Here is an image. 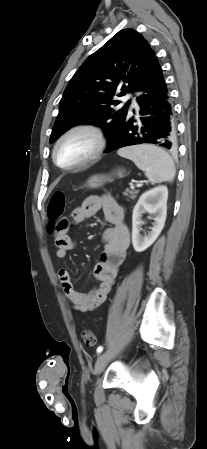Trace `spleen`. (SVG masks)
I'll return each mask as SVG.
<instances>
[{"label":"spleen","mask_w":207,"mask_h":449,"mask_svg":"<svg viewBox=\"0 0 207 449\" xmlns=\"http://www.w3.org/2000/svg\"><path fill=\"white\" fill-rule=\"evenodd\" d=\"M118 154L132 160L139 169L145 172L146 177L153 184L172 182L175 177L176 169L172 158L157 146L135 145L119 149Z\"/></svg>","instance_id":"3e777b00"}]
</instances>
